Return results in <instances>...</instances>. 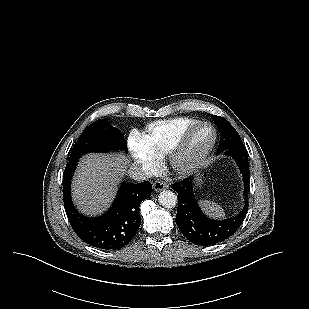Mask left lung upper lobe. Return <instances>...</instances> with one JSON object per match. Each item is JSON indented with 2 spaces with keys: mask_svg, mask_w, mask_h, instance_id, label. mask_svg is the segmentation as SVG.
<instances>
[{
  "mask_svg": "<svg viewBox=\"0 0 309 309\" xmlns=\"http://www.w3.org/2000/svg\"><path fill=\"white\" fill-rule=\"evenodd\" d=\"M211 118L214 120L215 124L218 126L220 132V143L217 151H223L225 149L242 146L243 142L234 129V127L224 118L211 114Z\"/></svg>",
  "mask_w": 309,
  "mask_h": 309,
  "instance_id": "1",
  "label": "left lung upper lobe"
}]
</instances>
